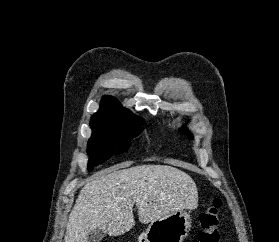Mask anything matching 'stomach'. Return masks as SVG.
Instances as JSON below:
<instances>
[{"instance_id":"0dacf381","label":"stomach","mask_w":279,"mask_h":242,"mask_svg":"<svg viewBox=\"0 0 279 242\" xmlns=\"http://www.w3.org/2000/svg\"><path fill=\"white\" fill-rule=\"evenodd\" d=\"M189 212L177 210L152 222L139 236V242H182L191 229Z\"/></svg>"}]
</instances>
